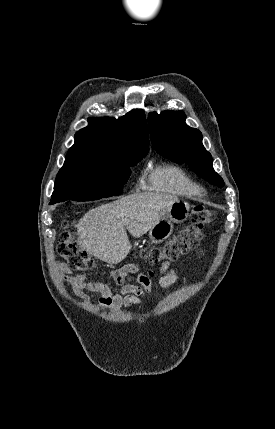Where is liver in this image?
Returning <instances> with one entry per match:
<instances>
[{"label":"liver","instance_id":"6515ba94","mask_svg":"<svg viewBox=\"0 0 275 429\" xmlns=\"http://www.w3.org/2000/svg\"><path fill=\"white\" fill-rule=\"evenodd\" d=\"M175 201L167 194H132L89 210L77 224L78 243L88 254L117 264L132 248L126 228L133 237L144 235Z\"/></svg>","mask_w":275,"mask_h":429}]
</instances>
